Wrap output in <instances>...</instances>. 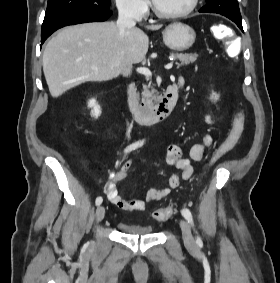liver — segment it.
<instances>
[{"label":"liver","instance_id":"liver-1","mask_svg":"<svg viewBox=\"0 0 280 283\" xmlns=\"http://www.w3.org/2000/svg\"><path fill=\"white\" fill-rule=\"evenodd\" d=\"M162 25L148 26L158 30ZM149 38L137 27L121 37L115 22L85 23L59 31L43 52V71L53 97L87 81H108L145 59Z\"/></svg>","mask_w":280,"mask_h":283}]
</instances>
